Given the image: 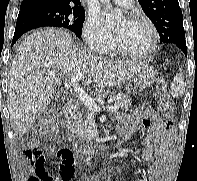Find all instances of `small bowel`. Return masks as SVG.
<instances>
[{"label":"small bowel","mask_w":197,"mask_h":181,"mask_svg":"<svg viewBox=\"0 0 197 181\" xmlns=\"http://www.w3.org/2000/svg\"><path fill=\"white\" fill-rule=\"evenodd\" d=\"M143 131H146L147 134L143 139L142 165H146L154 157L157 158L148 169L147 181H168V164L172 160L174 141L173 126L169 122L160 120L156 111L144 104L139 106L132 115L123 117L120 134L123 137H129ZM48 149L53 151L54 147L49 146ZM29 152L27 157L31 161Z\"/></svg>","instance_id":"small-bowel-1"}]
</instances>
